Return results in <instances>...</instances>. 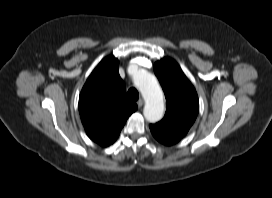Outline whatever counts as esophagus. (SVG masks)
Wrapping results in <instances>:
<instances>
[{
    "label": "esophagus",
    "instance_id": "34e87169",
    "mask_svg": "<svg viewBox=\"0 0 272 198\" xmlns=\"http://www.w3.org/2000/svg\"><path fill=\"white\" fill-rule=\"evenodd\" d=\"M143 104H144V100L142 98L137 101V105L139 108L142 107Z\"/></svg>",
    "mask_w": 272,
    "mask_h": 198
}]
</instances>
